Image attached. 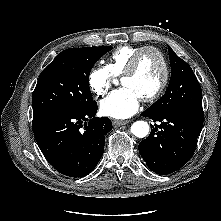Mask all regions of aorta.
I'll use <instances>...</instances> for the list:
<instances>
[{
  "label": "aorta",
  "instance_id": "1",
  "mask_svg": "<svg viewBox=\"0 0 221 221\" xmlns=\"http://www.w3.org/2000/svg\"><path fill=\"white\" fill-rule=\"evenodd\" d=\"M150 127L145 121H136L131 125V132L138 138H143L148 135Z\"/></svg>",
  "mask_w": 221,
  "mask_h": 221
}]
</instances>
